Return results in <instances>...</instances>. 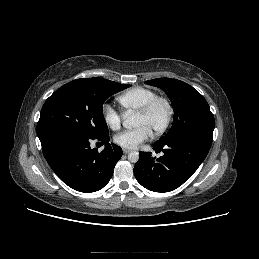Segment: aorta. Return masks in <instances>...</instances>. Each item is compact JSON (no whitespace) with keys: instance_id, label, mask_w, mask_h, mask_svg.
<instances>
[{"instance_id":"aorta-1","label":"aorta","mask_w":259,"mask_h":259,"mask_svg":"<svg viewBox=\"0 0 259 259\" xmlns=\"http://www.w3.org/2000/svg\"><path fill=\"white\" fill-rule=\"evenodd\" d=\"M123 126L127 129H132L138 126V117L131 113L126 115ZM139 159V153L137 151H132L128 154V160L132 163H136Z\"/></svg>"}]
</instances>
